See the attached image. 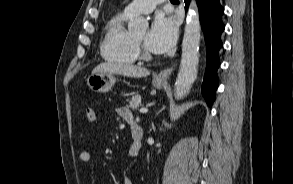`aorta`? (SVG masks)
Masks as SVG:
<instances>
[{
    "mask_svg": "<svg viewBox=\"0 0 293 184\" xmlns=\"http://www.w3.org/2000/svg\"><path fill=\"white\" fill-rule=\"evenodd\" d=\"M147 28L148 21L143 17L134 19L128 25V29L134 33L145 31ZM200 38L199 14L195 6V0H191L182 42L180 69L175 82L174 96L177 100L184 98L190 92L197 78Z\"/></svg>",
    "mask_w": 293,
    "mask_h": 184,
    "instance_id": "obj_1",
    "label": "aorta"
}]
</instances>
